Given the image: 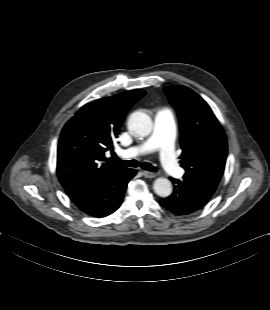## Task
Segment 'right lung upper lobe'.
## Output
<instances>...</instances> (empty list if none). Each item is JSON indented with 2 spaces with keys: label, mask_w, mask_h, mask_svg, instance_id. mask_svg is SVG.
<instances>
[{
  "label": "right lung upper lobe",
  "mask_w": 270,
  "mask_h": 310,
  "mask_svg": "<svg viewBox=\"0 0 270 310\" xmlns=\"http://www.w3.org/2000/svg\"><path fill=\"white\" fill-rule=\"evenodd\" d=\"M131 90L84 105L64 126L58 144L57 174L63 187L92 181L123 166L105 158L113 149L125 114L145 95Z\"/></svg>",
  "instance_id": "cb5924a9"
}]
</instances>
